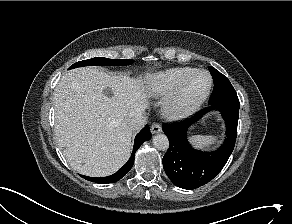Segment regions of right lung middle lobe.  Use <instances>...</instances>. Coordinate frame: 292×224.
Listing matches in <instances>:
<instances>
[{"instance_id": "obj_1", "label": "right lung middle lobe", "mask_w": 292, "mask_h": 224, "mask_svg": "<svg viewBox=\"0 0 292 224\" xmlns=\"http://www.w3.org/2000/svg\"><path fill=\"white\" fill-rule=\"evenodd\" d=\"M133 62H134L133 60H127V59H108V58H103V57H96V58H91V59L77 62L73 64L69 69L83 67V66H95V65L124 66V65H130Z\"/></svg>"}]
</instances>
